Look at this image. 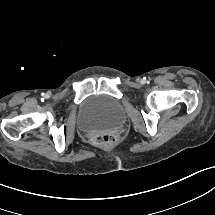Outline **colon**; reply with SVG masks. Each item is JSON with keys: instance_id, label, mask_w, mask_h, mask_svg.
<instances>
[{"instance_id": "1", "label": "colon", "mask_w": 215, "mask_h": 215, "mask_svg": "<svg viewBox=\"0 0 215 215\" xmlns=\"http://www.w3.org/2000/svg\"><path fill=\"white\" fill-rule=\"evenodd\" d=\"M114 140V137H97L95 143L99 146H106L108 143Z\"/></svg>"}]
</instances>
